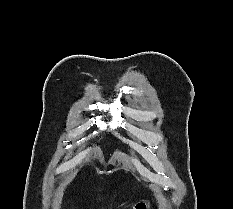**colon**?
Masks as SVG:
<instances>
[{
  "mask_svg": "<svg viewBox=\"0 0 233 209\" xmlns=\"http://www.w3.org/2000/svg\"><path fill=\"white\" fill-rule=\"evenodd\" d=\"M147 205L144 202H139L136 204L135 209H146Z\"/></svg>",
  "mask_w": 233,
  "mask_h": 209,
  "instance_id": "1",
  "label": "colon"
}]
</instances>
